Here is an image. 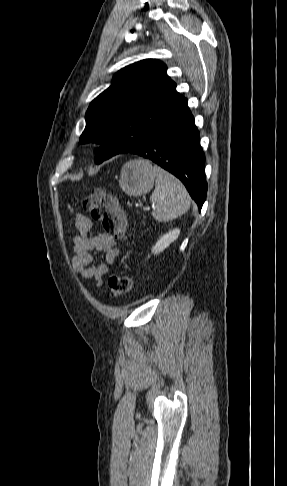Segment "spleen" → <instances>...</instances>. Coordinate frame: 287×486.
<instances>
[{"mask_svg":"<svg viewBox=\"0 0 287 486\" xmlns=\"http://www.w3.org/2000/svg\"><path fill=\"white\" fill-rule=\"evenodd\" d=\"M153 170L156 174V185L150 197L154 205L152 216L160 222L172 221L190 208V196L175 176L158 166H154Z\"/></svg>","mask_w":287,"mask_h":486,"instance_id":"1","label":"spleen"}]
</instances>
